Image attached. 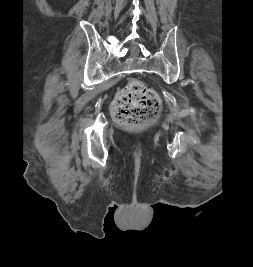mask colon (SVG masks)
<instances>
[{
  "mask_svg": "<svg viewBox=\"0 0 253 267\" xmlns=\"http://www.w3.org/2000/svg\"><path fill=\"white\" fill-rule=\"evenodd\" d=\"M161 110V100L158 94L143 81L131 80L116 95L112 103L114 120L124 126H141Z\"/></svg>",
  "mask_w": 253,
  "mask_h": 267,
  "instance_id": "5ec220e1",
  "label": "colon"
}]
</instances>
